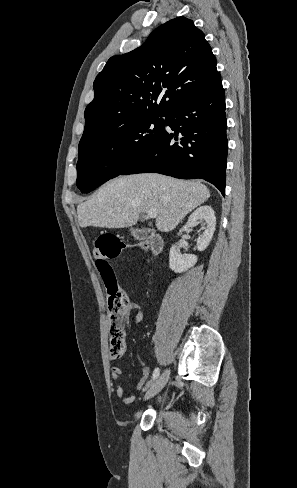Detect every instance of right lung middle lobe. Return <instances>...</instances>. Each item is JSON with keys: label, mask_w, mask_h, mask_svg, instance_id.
<instances>
[{"label": "right lung middle lobe", "mask_w": 297, "mask_h": 488, "mask_svg": "<svg viewBox=\"0 0 297 488\" xmlns=\"http://www.w3.org/2000/svg\"><path fill=\"white\" fill-rule=\"evenodd\" d=\"M164 127V119L145 117L95 139H81L77 187L83 193H88L121 175L161 134Z\"/></svg>", "instance_id": "dd1d6c3e"}]
</instances>
